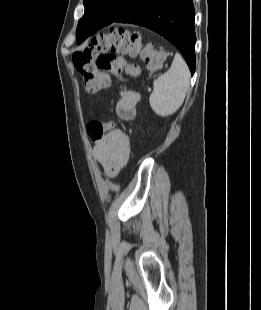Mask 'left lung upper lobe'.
Returning a JSON list of instances; mask_svg holds the SVG:
<instances>
[{
  "label": "left lung upper lobe",
  "mask_w": 261,
  "mask_h": 310,
  "mask_svg": "<svg viewBox=\"0 0 261 310\" xmlns=\"http://www.w3.org/2000/svg\"><path fill=\"white\" fill-rule=\"evenodd\" d=\"M128 0H84L85 13L77 27V35L88 21H111L124 8Z\"/></svg>",
  "instance_id": "5c2ea615"
}]
</instances>
